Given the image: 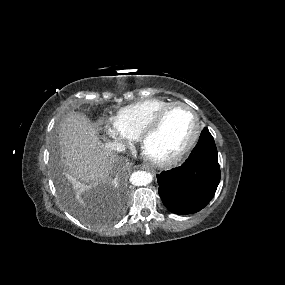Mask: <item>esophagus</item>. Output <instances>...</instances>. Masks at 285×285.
I'll return each instance as SVG.
<instances>
[{
  "mask_svg": "<svg viewBox=\"0 0 285 285\" xmlns=\"http://www.w3.org/2000/svg\"><path fill=\"white\" fill-rule=\"evenodd\" d=\"M141 168L145 169V170H149L150 169V167L148 165H142Z\"/></svg>",
  "mask_w": 285,
  "mask_h": 285,
  "instance_id": "esophagus-1",
  "label": "esophagus"
}]
</instances>
